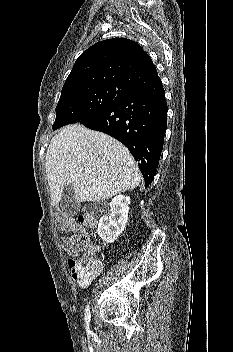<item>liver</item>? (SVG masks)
Instances as JSON below:
<instances>
[{
  "mask_svg": "<svg viewBox=\"0 0 233 352\" xmlns=\"http://www.w3.org/2000/svg\"><path fill=\"white\" fill-rule=\"evenodd\" d=\"M45 166L53 206L61 201L66 185L73 186L80 203L109 199L136 188L141 180L122 143L78 124L66 126L52 138Z\"/></svg>",
  "mask_w": 233,
  "mask_h": 352,
  "instance_id": "obj_1",
  "label": "liver"
}]
</instances>
